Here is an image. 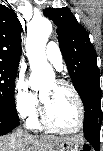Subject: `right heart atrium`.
Segmentation results:
<instances>
[{"label": "right heart atrium", "mask_w": 103, "mask_h": 151, "mask_svg": "<svg viewBox=\"0 0 103 151\" xmlns=\"http://www.w3.org/2000/svg\"><path fill=\"white\" fill-rule=\"evenodd\" d=\"M14 102L18 113L22 117L31 118L36 114L38 100L29 89L24 77L18 75L14 84Z\"/></svg>", "instance_id": "1"}]
</instances>
